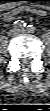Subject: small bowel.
I'll return each mask as SVG.
<instances>
[{"label":"small bowel","instance_id":"c3829d8e","mask_svg":"<svg viewBox=\"0 0 50 111\" xmlns=\"http://www.w3.org/2000/svg\"><path fill=\"white\" fill-rule=\"evenodd\" d=\"M23 12H29V13H32L34 15H45L46 14V11H44L42 9H35V8H31V7L21 6V7H17V8H14L12 10L4 12L3 13V19L5 21H10L16 15L23 13Z\"/></svg>","mask_w":50,"mask_h":111}]
</instances>
